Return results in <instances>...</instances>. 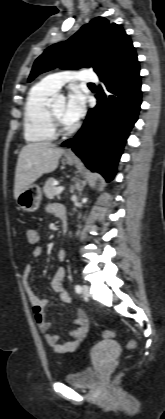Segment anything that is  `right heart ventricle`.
I'll list each match as a JSON object with an SVG mask.
<instances>
[{
  "label": "right heart ventricle",
  "instance_id": "obj_1",
  "mask_svg": "<svg viewBox=\"0 0 165 419\" xmlns=\"http://www.w3.org/2000/svg\"><path fill=\"white\" fill-rule=\"evenodd\" d=\"M55 91L42 82L35 84L28 93L24 105L23 128L25 139L29 142H50L55 133L49 118V98Z\"/></svg>",
  "mask_w": 165,
  "mask_h": 419
}]
</instances>
